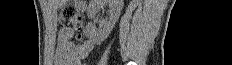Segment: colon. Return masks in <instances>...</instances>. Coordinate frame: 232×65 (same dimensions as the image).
Returning a JSON list of instances; mask_svg holds the SVG:
<instances>
[{"label": "colon", "mask_w": 232, "mask_h": 65, "mask_svg": "<svg viewBox=\"0 0 232 65\" xmlns=\"http://www.w3.org/2000/svg\"><path fill=\"white\" fill-rule=\"evenodd\" d=\"M82 22L79 10L73 5H66L59 15V24L64 29L78 28Z\"/></svg>", "instance_id": "5ec220e1"}]
</instances>
